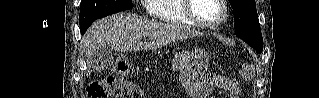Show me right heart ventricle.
Masks as SVG:
<instances>
[{"mask_svg":"<svg viewBox=\"0 0 319 98\" xmlns=\"http://www.w3.org/2000/svg\"><path fill=\"white\" fill-rule=\"evenodd\" d=\"M183 0H147L150 15L157 20L173 24L193 26L183 11Z\"/></svg>","mask_w":319,"mask_h":98,"instance_id":"1","label":"right heart ventricle"}]
</instances>
